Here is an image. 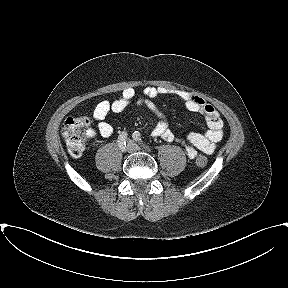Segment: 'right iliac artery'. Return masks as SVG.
Returning a JSON list of instances; mask_svg holds the SVG:
<instances>
[{
	"label": "right iliac artery",
	"mask_w": 288,
	"mask_h": 288,
	"mask_svg": "<svg viewBox=\"0 0 288 288\" xmlns=\"http://www.w3.org/2000/svg\"><path fill=\"white\" fill-rule=\"evenodd\" d=\"M126 139H127V133L122 132L119 137H118V145L120 147V149L124 150L126 147Z\"/></svg>",
	"instance_id": "82829eb1"
}]
</instances>
